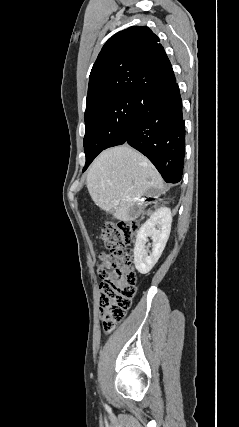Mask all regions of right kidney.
Here are the masks:
<instances>
[{
    "label": "right kidney",
    "instance_id": "1",
    "mask_svg": "<svg viewBox=\"0 0 239 427\" xmlns=\"http://www.w3.org/2000/svg\"><path fill=\"white\" fill-rule=\"evenodd\" d=\"M172 214L167 207L156 210L139 229L134 247V264L141 274H147L160 258L171 231ZM157 227V228H156ZM148 237L152 239V249Z\"/></svg>",
    "mask_w": 239,
    "mask_h": 427
}]
</instances>
